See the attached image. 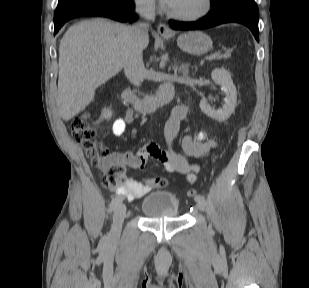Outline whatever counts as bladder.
I'll return each mask as SVG.
<instances>
[{
    "label": "bladder",
    "instance_id": "1",
    "mask_svg": "<svg viewBox=\"0 0 309 288\" xmlns=\"http://www.w3.org/2000/svg\"><path fill=\"white\" fill-rule=\"evenodd\" d=\"M140 208L146 218H174L178 215L180 203L172 192L153 191L144 195Z\"/></svg>",
    "mask_w": 309,
    "mask_h": 288
}]
</instances>
